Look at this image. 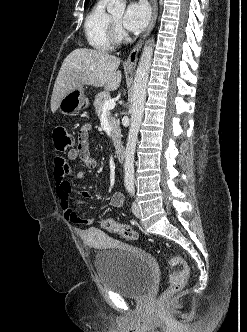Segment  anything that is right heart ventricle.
<instances>
[{
  "label": "right heart ventricle",
  "instance_id": "1",
  "mask_svg": "<svg viewBox=\"0 0 247 332\" xmlns=\"http://www.w3.org/2000/svg\"><path fill=\"white\" fill-rule=\"evenodd\" d=\"M108 1L98 0L88 13L84 23V32L89 46L102 52L110 51L113 48L107 31L110 16L106 11Z\"/></svg>",
  "mask_w": 247,
  "mask_h": 332
}]
</instances>
